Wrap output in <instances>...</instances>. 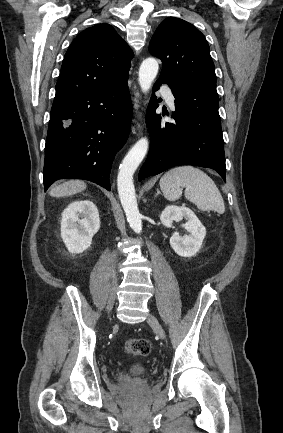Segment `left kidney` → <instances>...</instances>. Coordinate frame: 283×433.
Masks as SVG:
<instances>
[{
  "label": "left kidney",
  "mask_w": 283,
  "mask_h": 433,
  "mask_svg": "<svg viewBox=\"0 0 283 433\" xmlns=\"http://www.w3.org/2000/svg\"><path fill=\"white\" fill-rule=\"evenodd\" d=\"M185 218L187 222L183 225L189 232L185 236H180L178 232L173 233L170 238L172 249L181 257H192L201 248L206 229L199 221L195 213L184 206H167L160 215L161 223L167 227H172L173 221Z\"/></svg>",
  "instance_id": "left-kidney-1"
}]
</instances>
